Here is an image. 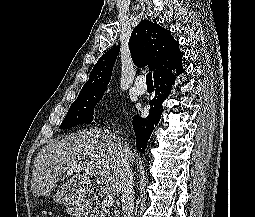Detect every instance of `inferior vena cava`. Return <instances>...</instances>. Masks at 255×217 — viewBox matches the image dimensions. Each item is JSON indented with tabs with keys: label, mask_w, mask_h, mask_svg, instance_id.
Listing matches in <instances>:
<instances>
[{
	"label": "inferior vena cava",
	"mask_w": 255,
	"mask_h": 217,
	"mask_svg": "<svg viewBox=\"0 0 255 217\" xmlns=\"http://www.w3.org/2000/svg\"><path fill=\"white\" fill-rule=\"evenodd\" d=\"M131 150L118 142L119 171L121 175V201L123 217H133L134 182L130 165Z\"/></svg>",
	"instance_id": "inferior-vena-cava-1"
}]
</instances>
